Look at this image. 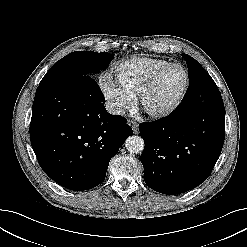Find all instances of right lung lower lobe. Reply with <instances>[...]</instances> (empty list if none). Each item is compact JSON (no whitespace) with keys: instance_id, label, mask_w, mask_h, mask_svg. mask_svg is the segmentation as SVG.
Returning <instances> with one entry per match:
<instances>
[{"instance_id":"right-lung-lower-lobe-1","label":"right lung lower lobe","mask_w":247,"mask_h":247,"mask_svg":"<svg viewBox=\"0 0 247 247\" xmlns=\"http://www.w3.org/2000/svg\"><path fill=\"white\" fill-rule=\"evenodd\" d=\"M91 76L67 73L41 80L36 90L30 139L43 171L74 191L99 185L110 159L133 134L126 119L107 113Z\"/></svg>"}]
</instances>
